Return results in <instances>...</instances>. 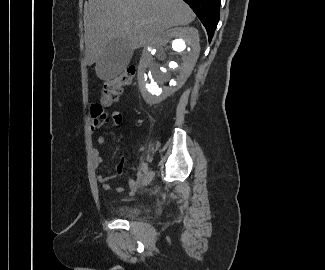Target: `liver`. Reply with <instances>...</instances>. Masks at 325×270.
I'll return each instance as SVG.
<instances>
[{"label": "liver", "instance_id": "1", "mask_svg": "<svg viewBox=\"0 0 325 270\" xmlns=\"http://www.w3.org/2000/svg\"><path fill=\"white\" fill-rule=\"evenodd\" d=\"M195 14L183 0H89L84 9L85 61L97 65L114 39H126L131 48L155 45L174 26H185Z\"/></svg>", "mask_w": 325, "mask_h": 270}]
</instances>
